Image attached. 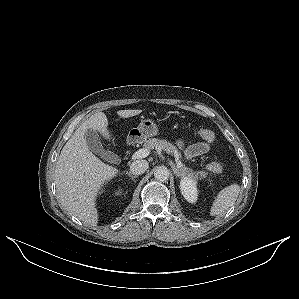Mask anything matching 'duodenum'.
Listing matches in <instances>:
<instances>
[{
	"label": "duodenum",
	"instance_id": "1",
	"mask_svg": "<svg viewBox=\"0 0 299 299\" xmlns=\"http://www.w3.org/2000/svg\"><path fill=\"white\" fill-rule=\"evenodd\" d=\"M132 142H133L132 139H129V140H128V144H131Z\"/></svg>",
	"mask_w": 299,
	"mask_h": 299
}]
</instances>
